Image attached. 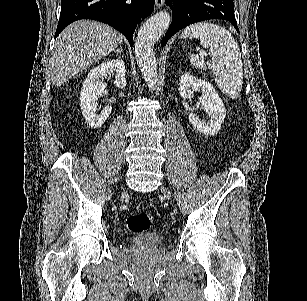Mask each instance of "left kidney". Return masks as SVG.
Instances as JSON below:
<instances>
[{
    "mask_svg": "<svg viewBox=\"0 0 307 301\" xmlns=\"http://www.w3.org/2000/svg\"><path fill=\"white\" fill-rule=\"evenodd\" d=\"M194 90L202 92L201 96H199V102H201L202 108L208 114L209 120H201L197 114L190 112L188 114L189 122L199 132L213 136V134H217L218 130H220L226 116L224 102H222L218 92H216L209 80L196 78V76L187 74V72L182 74L179 82L180 96H191Z\"/></svg>",
    "mask_w": 307,
    "mask_h": 301,
    "instance_id": "5707ae66",
    "label": "left kidney"
}]
</instances>
